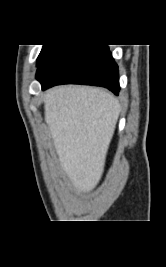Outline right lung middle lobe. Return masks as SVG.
Masks as SVG:
<instances>
[{
  "label": "right lung middle lobe",
  "mask_w": 166,
  "mask_h": 267,
  "mask_svg": "<svg viewBox=\"0 0 166 267\" xmlns=\"http://www.w3.org/2000/svg\"><path fill=\"white\" fill-rule=\"evenodd\" d=\"M53 45H44L39 56L37 59V66L41 62V60L44 58V56L48 53V51L52 48Z\"/></svg>",
  "instance_id": "right-lung-middle-lobe-1"
}]
</instances>
